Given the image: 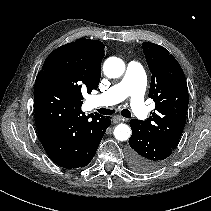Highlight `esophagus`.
<instances>
[{
    "mask_svg": "<svg viewBox=\"0 0 211 211\" xmlns=\"http://www.w3.org/2000/svg\"><path fill=\"white\" fill-rule=\"evenodd\" d=\"M124 120H125V118L120 116V115L113 116V118H112L113 123H119V122H122Z\"/></svg>",
    "mask_w": 211,
    "mask_h": 211,
    "instance_id": "34e87169",
    "label": "esophagus"
}]
</instances>
